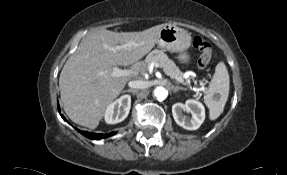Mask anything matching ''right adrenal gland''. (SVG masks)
I'll return each mask as SVG.
<instances>
[{
  "label": "right adrenal gland",
  "mask_w": 287,
  "mask_h": 175,
  "mask_svg": "<svg viewBox=\"0 0 287 175\" xmlns=\"http://www.w3.org/2000/svg\"><path fill=\"white\" fill-rule=\"evenodd\" d=\"M125 92H130V93H133L135 94L137 92V90H133V89H127V90H124L123 93Z\"/></svg>",
  "instance_id": "2a0ac1e0"
}]
</instances>
